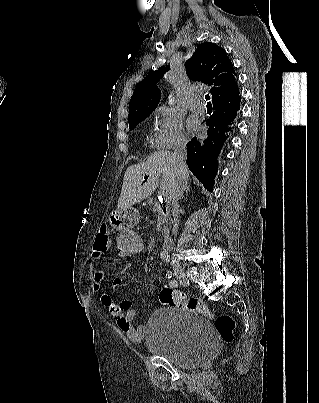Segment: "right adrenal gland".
Masks as SVG:
<instances>
[{
	"label": "right adrenal gland",
	"mask_w": 319,
	"mask_h": 403,
	"mask_svg": "<svg viewBox=\"0 0 319 403\" xmlns=\"http://www.w3.org/2000/svg\"><path fill=\"white\" fill-rule=\"evenodd\" d=\"M190 192V184L188 182H183L181 185V190H180V194H179V198H183L184 193H188Z\"/></svg>",
	"instance_id": "1"
}]
</instances>
